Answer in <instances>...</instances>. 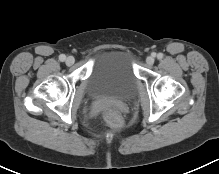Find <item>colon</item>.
I'll list each match as a JSON object with an SVG mask.
<instances>
[{
	"mask_svg": "<svg viewBox=\"0 0 219 174\" xmlns=\"http://www.w3.org/2000/svg\"><path fill=\"white\" fill-rule=\"evenodd\" d=\"M105 120L112 127H118L121 125V116L115 108H108L104 114Z\"/></svg>",
	"mask_w": 219,
	"mask_h": 174,
	"instance_id": "1",
	"label": "colon"
}]
</instances>
